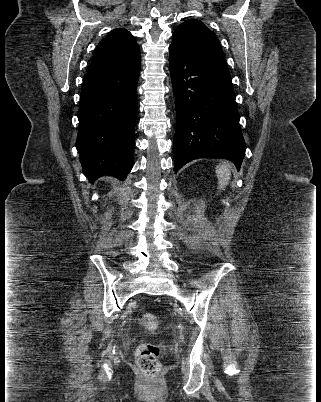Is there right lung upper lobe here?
Instances as JSON below:
<instances>
[{"label":"right lung upper lobe","mask_w":321,"mask_h":402,"mask_svg":"<svg viewBox=\"0 0 321 402\" xmlns=\"http://www.w3.org/2000/svg\"><path fill=\"white\" fill-rule=\"evenodd\" d=\"M140 63L135 39L127 30L118 28L99 42L88 72L132 69L140 66Z\"/></svg>","instance_id":"right-lung-upper-lobe-1"}]
</instances>
